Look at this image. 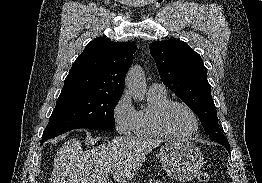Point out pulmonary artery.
<instances>
[{
  "label": "pulmonary artery",
  "mask_w": 262,
  "mask_h": 183,
  "mask_svg": "<svg viewBox=\"0 0 262 183\" xmlns=\"http://www.w3.org/2000/svg\"><path fill=\"white\" fill-rule=\"evenodd\" d=\"M149 91L164 92L166 88L162 83H152L149 87Z\"/></svg>",
  "instance_id": "obj_1"
}]
</instances>
